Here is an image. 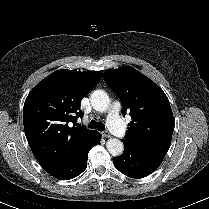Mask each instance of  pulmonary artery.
Returning a JSON list of instances; mask_svg holds the SVG:
<instances>
[{
    "mask_svg": "<svg viewBox=\"0 0 209 209\" xmlns=\"http://www.w3.org/2000/svg\"><path fill=\"white\" fill-rule=\"evenodd\" d=\"M120 104L118 102H114L111 104L108 112V127L109 129L121 137L125 135V127L119 117Z\"/></svg>",
    "mask_w": 209,
    "mask_h": 209,
    "instance_id": "obj_1",
    "label": "pulmonary artery"
}]
</instances>
